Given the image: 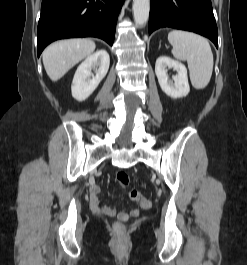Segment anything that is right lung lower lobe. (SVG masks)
<instances>
[{
	"instance_id": "right-lung-lower-lobe-1",
	"label": "right lung lower lobe",
	"mask_w": 247,
	"mask_h": 265,
	"mask_svg": "<svg viewBox=\"0 0 247 265\" xmlns=\"http://www.w3.org/2000/svg\"><path fill=\"white\" fill-rule=\"evenodd\" d=\"M124 0H43L37 28V54L51 42L98 37L112 45Z\"/></svg>"
}]
</instances>
